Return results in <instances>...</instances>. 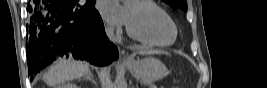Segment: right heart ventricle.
<instances>
[{
    "label": "right heart ventricle",
    "instance_id": "right-heart-ventricle-1",
    "mask_svg": "<svg viewBox=\"0 0 267 88\" xmlns=\"http://www.w3.org/2000/svg\"><path fill=\"white\" fill-rule=\"evenodd\" d=\"M146 3H148L150 6H152V7H155V8H159V9H161L160 7H158L154 2H152V1H149V0H144Z\"/></svg>",
    "mask_w": 267,
    "mask_h": 88
}]
</instances>
